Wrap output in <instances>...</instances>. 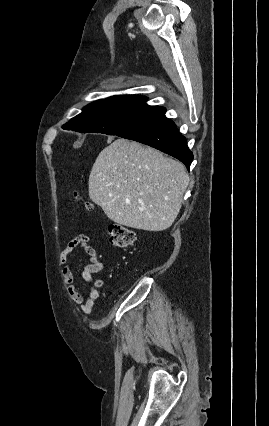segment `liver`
<instances>
[{"label":"liver","mask_w":269,"mask_h":426,"mask_svg":"<svg viewBox=\"0 0 269 426\" xmlns=\"http://www.w3.org/2000/svg\"><path fill=\"white\" fill-rule=\"evenodd\" d=\"M188 184L181 162L119 138L96 158L89 197L116 224L163 231L176 219Z\"/></svg>","instance_id":"6515ba94"}]
</instances>
